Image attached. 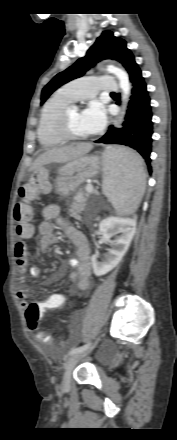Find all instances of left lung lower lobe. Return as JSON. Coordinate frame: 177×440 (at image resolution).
<instances>
[{
	"mask_svg": "<svg viewBox=\"0 0 177 440\" xmlns=\"http://www.w3.org/2000/svg\"><path fill=\"white\" fill-rule=\"evenodd\" d=\"M132 95L125 121L121 129L109 126L107 133L96 143L121 144L136 150L145 160L149 173L152 172L150 153L152 148L153 122L150 97L140 68L130 76Z\"/></svg>",
	"mask_w": 177,
	"mask_h": 440,
	"instance_id": "obj_1",
	"label": "left lung lower lobe"
}]
</instances>
